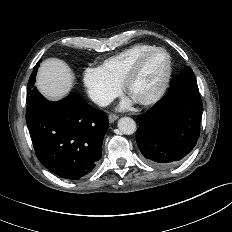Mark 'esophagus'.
<instances>
[{
	"instance_id": "obj_1",
	"label": "esophagus",
	"mask_w": 232,
	"mask_h": 232,
	"mask_svg": "<svg viewBox=\"0 0 232 232\" xmlns=\"http://www.w3.org/2000/svg\"><path fill=\"white\" fill-rule=\"evenodd\" d=\"M108 119H109L110 123H113L114 121H116L118 119V116L115 114H110Z\"/></svg>"
}]
</instances>
